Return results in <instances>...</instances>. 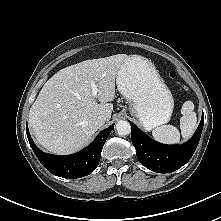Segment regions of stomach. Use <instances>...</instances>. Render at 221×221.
I'll use <instances>...</instances> for the list:
<instances>
[{
	"instance_id": "stomach-1",
	"label": "stomach",
	"mask_w": 221,
	"mask_h": 221,
	"mask_svg": "<svg viewBox=\"0 0 221 221\" xmlns=\"http://www.w3.org/2000/svg\"><path fill=\"white\" fill-rule=\"evenodd\" d=\"M119 92L128 100L129 112L146 130L169 122L173 96L155 65L139 55L128 56L116 76Z\"/></svg>"
}]
</instances>
